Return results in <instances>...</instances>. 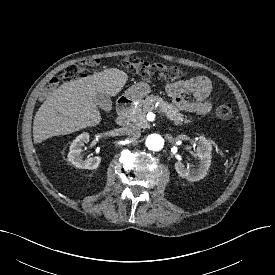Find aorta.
Here are the masks:
<instances>
[{"label":"aorta","mask_w":275,"mask_h":275,"mask_svg":"<svg viewBox=\"0 0 275 275\" xmlns=\"http://www.w3.org/2000/svg\"><path fill=\"white\" fill-rule=\"evenodd\" d=\"M146 146L151 151H160L164 147V138L159 134H150L146 138Z\"/></svg>","instance_id":"obj_1"}]
</instances>
